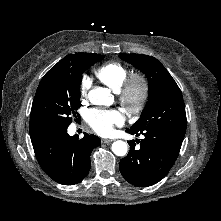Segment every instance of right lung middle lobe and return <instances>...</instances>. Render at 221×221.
Segmentation results:
<instances>
[{
    "mask_svg": "<svg viewBox=\"0 0 221 221\" xmlns=\"http://www.w3.org/2000/svg\"><path fill=\"white\" fill-rule=\"evenodd\" d=\"M100 54L81 53L76 60L56 75L44 76L35 93L30 129L39 133L67 128L76 116L80 103L82 73L102 60Z\"/></svg>",
    "mask_w": 221,
    "mask_h": 221,
    "instance_id": "dd1d6c3e",
    "label": "right lung middle lobe"
}]
</instances>
